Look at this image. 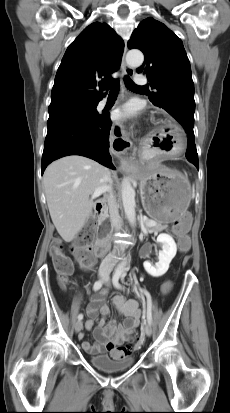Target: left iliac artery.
I'll use <instances>...</instances> for the list:
<instances>
[{"label":"left iliac artery","mask_w":230,"mask_h":413,"mask_svg":"<svg viewBox=\"0 0 230 413\" xmlns=\"http://www.w3.org/2000/svg\"><path fill=\"white\" fill-rule=\"evenodd\" d=\"M125 276V271L123 270H117L112 278L113 285L117 289H122L121 284L119 283V279ZM141 291L145 294L147 298V312H146V317L147 321L149 324L152 323V313H151V306H152V301H151V296L150 293L147 290L141 289Z\"/></svg>","instance_id":"left-iliac-artery-1"}]
</instances>
